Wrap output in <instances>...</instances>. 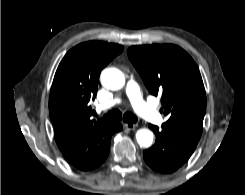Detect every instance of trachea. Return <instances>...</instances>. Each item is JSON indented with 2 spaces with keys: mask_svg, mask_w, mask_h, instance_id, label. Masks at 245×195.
<instances>
[{
  "mask_svg": "<svg viewBox=\"0 0 245 195\" xmlns=\"http://www.w3.org/2000/svg\"><path fill=\"white\" fill-rule=\"evenodd\" d=\"M104 118L111 121H119L123 118V121L127 123H136L137 117L132 112H126L122 115L119 110H112L104 115Z\"/></svg>",
  "mask_w": 245,
  "mask_h": 195,
  "instance_id": "trachea-1",
  "label": "trachea"
}]
</instances>
